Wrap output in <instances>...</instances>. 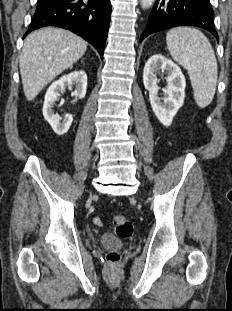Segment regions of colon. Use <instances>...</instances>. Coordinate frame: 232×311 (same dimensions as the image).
<instances>
[{"instance_id": "5ec220e1", "label": "colon", "mask_w": 232, "mask_h": 311, "mask_svg": "<svg viewBox=\"0 0 232 311\" xmlns=\"http://www.w3.org/2000/svg\"><path fill=\"white\" fill-rule=\"evenodd\" d=\"M112 226L114 232L119 237L127 238L133 233V225L126 216H115L112 220ZM106 260L110 266H117L121 260V255L117 251H110L106 255Z\"/></svg>"}]
</instances>
